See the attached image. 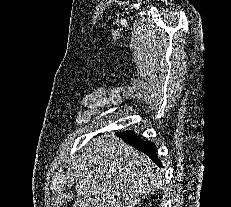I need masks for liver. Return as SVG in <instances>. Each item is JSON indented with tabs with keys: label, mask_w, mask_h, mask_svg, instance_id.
I'll return each instance as SVG.
<instances>
[{
	"label": "liver",
	"mask_w": 231,
	"mask_h": 207,
	"mask_svg": "<svg viewBox=\"0 0 231 207\" xmlns=\"http://www.w3.org/2000/svg\"><path fill=\"white\" fill-rule=\"evenodd\" d=\"M144 153L114 135L95 137L74 158V207H135L162 176Z\"/></svg>",
	"instance_id": "6515ba94"
}]
</instances>
